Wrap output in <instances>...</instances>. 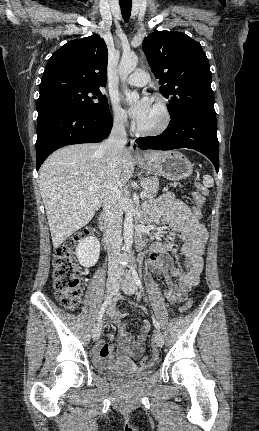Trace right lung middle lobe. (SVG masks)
<instances>
[{"label":"right lung middle lobe","instance_id":"1","mask_svg":"<svg viewBox=\"0 0 259 431\" xmlns=\"http://www.w3.org/2000/svg\"><path fill=\"white\" fill-rule=\"evenodd\" d=\"M69 106L78 109L103 113L109 111L105 95L95 87H81L71 83L55 81L40 88V97L37 101L38 114L45 110Z\"/></svg>","mask_w":259,"mask_h":431}]
</instances>
